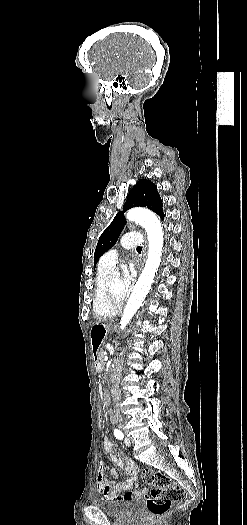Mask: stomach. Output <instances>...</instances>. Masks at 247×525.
Instances as JSON below:
<instances>
[{
  "label": "stomach",
  "mask_w": 247,
  "mask_h": 525,
  "mask_svg": "<svg viewBox=\"0 0 247 525\" xmlns=\"http://www.w3.org/2000/svg\"><path fill=\"white\" fill-rule=\"evenodd\" d=\"M108 327L106 325H95L91 329V345L94 353L96 352L99 344L103 340L105 334L107 333Z\"/></svg>",
  "instance_id": "stomach-1"
}]
</instances>
